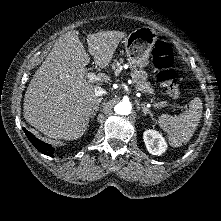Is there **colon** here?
<instances>
[{
	"label": "colon",
	"mask_w": 221,
	"mask_h": 221,
	"mask_svg": "<svg viewBox=\"0 0 221 221\" xmlns=\"http://www.w3.org/2000/svg\"><path fill=\"white\" fill-rule=\"evenodd\" d=\"M153 64L158 80L167 88L171 98L180 96V86L174 69L173 49L165 39H158L152 50Z\"/></svg>",
	"instance_id": "obj_1"
}]
</instances>
